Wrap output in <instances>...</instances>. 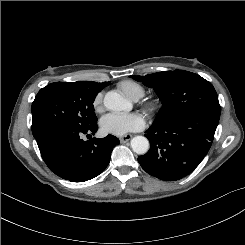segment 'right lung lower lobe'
<instances>
[{
	"label": "right lung lower lobe",
	"mask_w": 245,
	"mask_h": 245,
	"mask_svg": "<svg viewBox=\"0 0 245 245\" xmlns=\"http://www.w3.org/2000/svg\"><path fill=\"white\" fill-rule=\"evenodd\" d=\"M97 123L85 130L52 126L36 138L46 165L59 177L72 182L90 180L102 173L111 151L120 143L113 135L83 141V134H95Z\"/></svg>",
	"instance_id": "98d812e1"
}]
</instances>
